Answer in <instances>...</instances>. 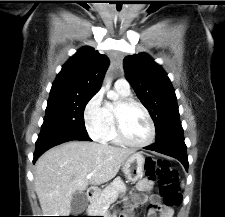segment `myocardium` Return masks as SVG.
<instances>
[{
	"instance_id": "f54148a6",
	"label": "myocardium",
	"mask_w": 225,
	"mask_h": 217,
	"mask_svg": "<svg viewBox=\"0 0 225 217\" xmlns=\"http://www.w3.org/2000/svg\"><path fill=\"white\" fill-rule=\"evenodd\" d=\"M131 106L139 107L144 112V114L149 122L150 135H149V138L143 143L131 142L126 137L124 130H123L122 113L126 108L131 107ZM114 120H115L117 136L122 144L132 147V148H144L153 143L155 136H156L155 125H154L153 119H152L148 109L141 102H139L133 98H130V97L122 98L114 107Z\"/></svg>"
}]
</instances>
